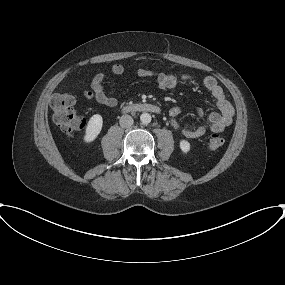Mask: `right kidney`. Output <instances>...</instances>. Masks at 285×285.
I'll use <instances>...</instances> for the list:
<instances>
[{"instance_id": "1", "label": "right kidney", "mask_w": 285, "mask_h": 285, "mask_svg": "<svg viewBox=\"0 0 285 285\" xmlns=\"http://www.w3.org/2000/svg\"><path fill=\"white\" fill-rule=\"evenodd\" d=\"M103 119L102 116L99 114L93 115L87 124L85 135H84V142L91 143L93 142L97 136L100 134L102 130Z\"/></svg>"}]
</instances>
